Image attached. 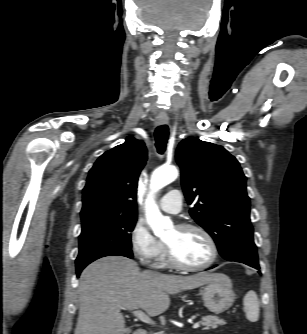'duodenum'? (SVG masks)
<instances>
[{"mask_svg":"<svg viewBox=\"0 0 307 334\" xmlns=\"http://www.w3.org/2000/svg\"><path fill=\"white\" fill-rule=\"evenodd\" d=\"M133 334H147L146 330L143 328H137Z\"/></svg>","mask_w":307,"mask_h":334,"instance_id":"1","label":"duodenum"}]
</instances>
